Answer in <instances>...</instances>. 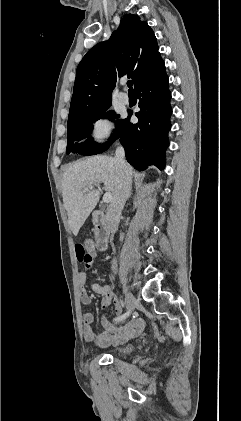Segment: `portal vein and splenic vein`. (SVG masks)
<instances>
[{
	"instance_id": "18ae733b",
	"label": "portal vein and splenic vein",
	"mask_w": 241,
	"mask_h": 421,
	"mask_svg": "<svg viewBox=\"0 0 241 421\" xmlns=\"http://www.w3.org/2000/svg\"><path fill=\"white\" fill-rule=\"evenodd\" d=\"M95 186L97 187V185H91V186H89V189L91 190V189H93ZM80 194L82 195V194H83V192H81ZM111 200H112V194H111V193H109V192H106V193L104 194V196H103V202H104V203H109V202H111Z\"/></svg>"
}]
</instances>
